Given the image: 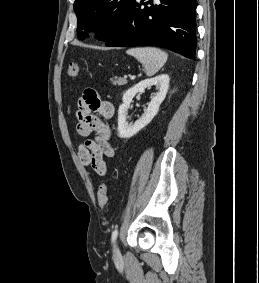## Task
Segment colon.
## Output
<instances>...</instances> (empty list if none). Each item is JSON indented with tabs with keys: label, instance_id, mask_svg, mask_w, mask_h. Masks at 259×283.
<instances>
[{
	"label": "colon",
	"instance_id": "1",
	"mask_svg": "<svg viewBox=\"0 0 259 283\" xmlns=\"http://www.w3.org/2000/svg\"><path fill=\"white\" fill-rule=\"evenodd\" d=\"M67 74L70 78H75L79 74V64L77 62H70L68 65ZM108 199V187L104 183L98 189V202L101 208H105L107 206Z\"/></svg>",
	"mask_w": 259,
	"mask_h": 283
}]
</instances>
